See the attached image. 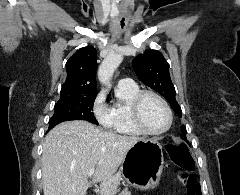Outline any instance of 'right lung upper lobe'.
<instances>
[{
	"label": "right lung upper lobe",
	"instance_id": "1",
	"mask_svg": "<svg viewBox=\"0 0 240 195\" xmlns=\"http://www.w3.org/2000/svg\"><path fill=\"white\" fill-rule=\"evenodd\" d=\"M97 51L87 46L78 50L66 63L67 79L61 97L96 96Z\"/></svg>",
	"mask_w": 240,
	"mask_h": 195
}]
</instances>
